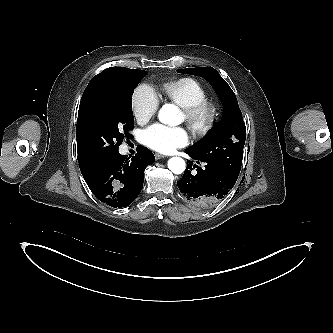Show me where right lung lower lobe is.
<instances>
[{
  "mask_svg": "<svg viewBox=\"0 0 333 333\" xmlns=\"http://www.w3.org/2000/svg\"><path fill=\"white\" fill-rule=\"evenodd\" d=\"M155 161L153 153L137 147L131 160L119 152L84 177L93 194L111 207L130 205L142 190L144 170Z\"/></svg>",
  "mask_w": 333,
  "mask_h": 333,
  "instance_id": "98d812e1",
  "label": "right lung lower lobe"
}]
</instances>
